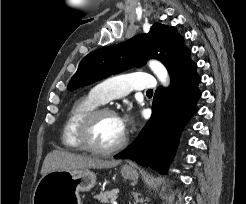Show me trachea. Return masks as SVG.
<instances>
[{
  "label": "trachea",
  "mask_w": 246,
  "mask_h": 204,
  "mask_svg": "<svg viewBox=\"0 0 246 204\" xmlns=\"http://www.w3.org/2000/svg\"><path fill=\"white\" fill-rule=\"evenodd\" d=\"M147 93H153V90H148Z\"/></svg>",
  "instance_id": "1"
}]
</instances>
